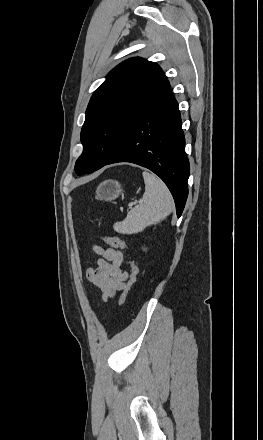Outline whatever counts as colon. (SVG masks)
Masks as SVG:
<instances>
[{"label": "colon", "mask_w": 263, "mask_h": 440, "mask_svg": "<svg viewBox=\"0 0 263 440\" xmlns=\"http://www.w3.org/2000/svg\"><path fill=\"white\" fill-rule=\"evenodd\" d=\"M104 239L106 241V243L112 247V248H118V249H124L126 247V244L123 240H121L120 238H118L117 236H112V235H105ZM131 268L130 271V277L128 279L127 285L124 289V292L122 294L121 297V303H124L135 283V279H136V274H137V269L135 267V265L133 264V262L129 261L128 262Z\"/></svg>", "instance_id": "obj_1"}]
</instances>
